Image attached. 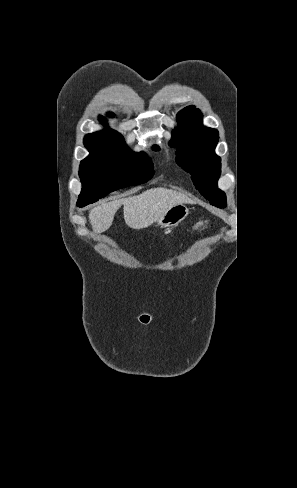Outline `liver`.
<instances>
[{
    "label": "liver",
    "mask_w": 297,
    "mask_h": 488,
    "mask_svg": "<svg viewBox=\"0 0 297 488\" xmlns=\"http://www.w3.org/2000/svg\"><path fill=\"white\" fill-rule=\"evenodd\" d=\"M191 202L184 194L167 188H154L137 196L103 203L93 208L89 219L94 232L101 233L112 225L115 213L123 205L124 220L135 230L147 228L176 204Z\"/></svg>",
    "instance_id": "liver-1"
}]
</instances>
